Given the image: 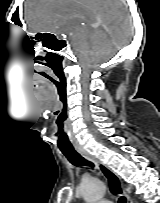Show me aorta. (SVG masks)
Masks as SVG:
<instances>
[{"instance_id": "1", "label": "aorta", "mask_w": 160, "mask_h": 203, "mask_svg": "<svg viewBox=\"0 0 160 203\" xmlns=\"http://www.w3.org/2000/svg\"><path fill=\"white\" fill-rule=\"evenodd\" d=\"M105 193V185L96 179H88L81 185V194L87 203H98Z\"/></svg>"}]
</instances>
